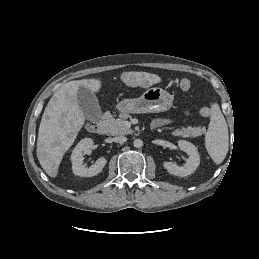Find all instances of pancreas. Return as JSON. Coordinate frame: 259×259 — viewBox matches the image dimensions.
I'll list each match as a JSON object with an SVG mask.
<instances>
[{"mask_svg":"<svg viewBox=\"0 0 259 259\" xmlns=\"http://www.w3.org/2000/svg\"><path fill=\"white\" fill-rule=\"evenodd\" d=\"M128 118L127 114L121 116V118L114 119L111 114H108L104 120V125L106 126L107 132L110 135H126L133 133V130L125 125V119ZM205 132L204 128L200 127H182L177 129L174 134L181 136H192L197 137Z\"/></svg>","mask_w":259,"mask_h":259,"instance_id":"cf45deb5","label":"pancreas"}]
</instances>
